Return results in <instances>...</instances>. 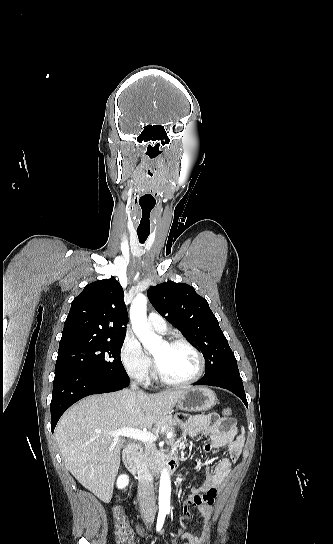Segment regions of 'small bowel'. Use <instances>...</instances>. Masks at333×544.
Listing matches in <instances>:
<instances>
[{
    "mask_svg": "<svg viewBox=\"0 0 333 544\" xmlns=\"http://www.w3.org/2000/svg\"><path fill=\"white\" fill-rule=\"evenodd\" d=\"M200 433L208 435L210 438V442L204 446L205 452L228 446L229 456L220 459L202 485L199 488L193 487L190 495L184 501L182 512L185 519H190L191 507H196L204 517L202 527L195 534L181 533L185 544H204L206 541L210 526L211 505L218 490L228 477L233 462L239 458L244 444V438L238 434L232 420L226 425L217 415L209 414L180 420V432L175 445L178 446L186 435L194 437ZM137 530L142 534L141 527H137Z\"/></svg>",
    "mask_w": 333,
    "mask_h": 544,
    "instance_id": "1",
    "label": "small bowel"
}]
</instances>
